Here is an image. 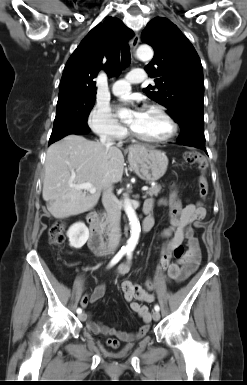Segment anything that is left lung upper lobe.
I'll return each instance as SVG.
<instances>
[{
    "label": "left lung upper lobe",
    "mask_w": 247,
    "mask_h": 385,
    "mask_svg": "<svg viewBox=\"0 0 247 385\" xmlns=\"http://www.w3.org/2000/svg\"><path fill=\"white\" fill-rule=\"evenodd\" d=\"M142 41L154 49V58L145 70L156 83L143 91L165 106L179 125L191 120L203 121L202 64L189 40L170 20L156 17L142 32Z\"/></svg>",
    "instance_id": "obj_1"
}]
</instances>
